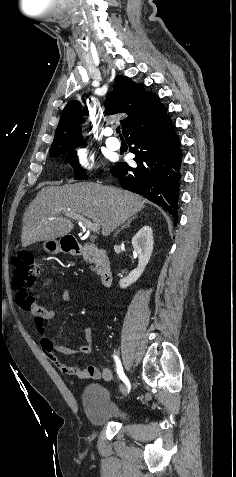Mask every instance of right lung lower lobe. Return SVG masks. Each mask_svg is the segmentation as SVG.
I'll return each instance as SVG.
<instances>
[{"instance_id":"obj_1","label":"right lung lower lobe","mask_w":236,"mask_h":477,"mask_svg":"<svg viewBox=\"0 0 236 477\" xmlns=\"http://www.w3.org/2000/svg\"><path fill=\"white\" fill-rule=\"evenodd\" d=\"M137 167L119 162L110 169L122 188L166 209L177 221V199L182 153L174 126L165 115L159 122L126 137Z\"/></svg>"}]
</instances>
